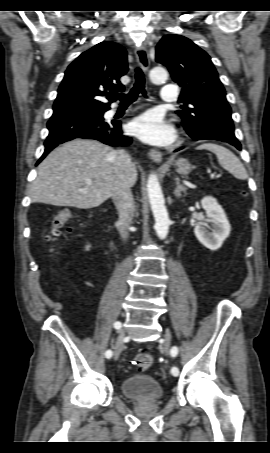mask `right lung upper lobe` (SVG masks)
Segmentation results:
<instances>
[{
  "label": "right lung upper lobe",
  "mask_w": 270,
  "mask_h": 453,
  "mask_svg": "<svg viewBox=\"0 0 270 453\" xmlns=\"http://www.w3.org/2000/svg\"><path fill=\"white\" fill-rule=\"evenodd\" d=\"M127 71L126 50L117 43L104 41L83 52L65 72L53 115L109 108L124 89L120 77Z\"/></svg>",
  "instance_id": "cb5924a9"
}]
</instances>
